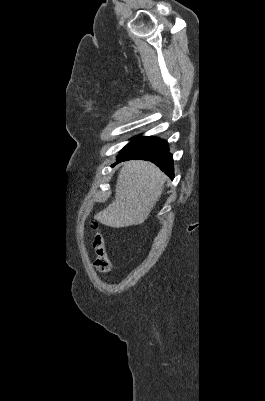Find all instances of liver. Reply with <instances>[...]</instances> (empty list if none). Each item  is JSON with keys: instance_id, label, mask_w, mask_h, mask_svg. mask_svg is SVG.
I'll return each instance as SVG.
<instances>
[{"instance_id": "liver-1", "label": "liver", "mask_w": 265, "mask_h": 401, "mask_svg": "<svg viewBox=\"0 0 265 401\" xmlns=\"http://www.w3.org/2000/svg\"><path fill=\"white\" fill-rule=\"evenodd\" d=\"M166 180L167 176L153 162H122L115 184L114 201L97 213L94 219L115 229L141 225L159 201Z\"/></svg>"}]
</instances>
